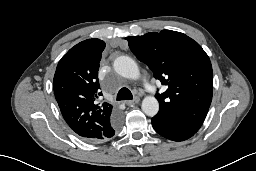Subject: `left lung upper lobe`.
I'll return each mask as SVG.
<instances>
[{"mask_svg":"<svg viewBox=\"0 0 256 171\" xmlns=\"http://www.w3.org/2000/svg\"><path fill=\"white\" fill-rule=\"evenodd\" d=\"M125 39L134 55L167 86L165 92L156 95L158 113L175 115L187 129L197 132L213 92L212 66L202 47L187 35L171 30Z\"/></svg>","mask_w":256,"mask_h":171,"instance_id":"obj_1","label":"left lung upper lobe"}]
</instances>
